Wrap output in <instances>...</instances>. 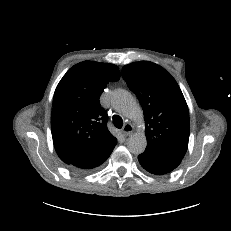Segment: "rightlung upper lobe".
I'll list each match as a JSON object with an SVG mask.
<instances>
[{
    "label": "right lung upper lobe",
    "instance_id": "obj_1",
    "mask_svg": "<svg viewBox=\"0 0 231 231\" xmlns=\"http://www.w3.org/2000/svg\"><path fill=\"white\" fill-rule=\"evenodd\" d=\"M119 79L116 65L83 61L71 67L57 85L51 131L64 163L99 156L117 143L107 129V112L99 98L109 82Z\"/></svg>",
    "mask_w": 231,
    "mask_h": 231
}]
</instances>
